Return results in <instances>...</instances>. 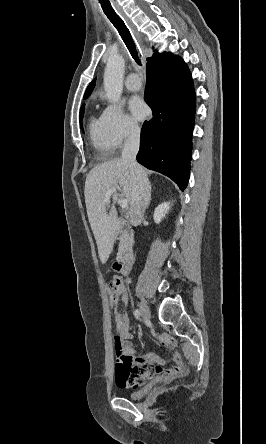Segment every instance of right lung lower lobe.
I'll return each mask as SVG.
<instances>
[{
    "instance_id": "obj_1",
    "label": "right lung lower lobe",
    "mask_w": 266,
    "mask_h": 444,
    "mask_svg": "<svg viewBox=\"0 0 266 444\" xmlns=\"http://www.w3.org/2000/svg\"><path fill=\"white\" fill-rule=\"evenodd\" d=\"M145 100L153 117L143 123L137 161L170 177L183 191L189 180L195 93L177 56L146 67Z\"/></svg>"
}]
</instances>
